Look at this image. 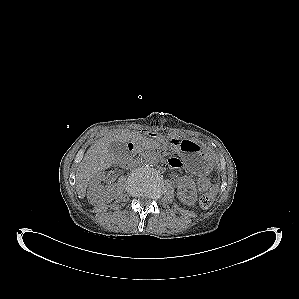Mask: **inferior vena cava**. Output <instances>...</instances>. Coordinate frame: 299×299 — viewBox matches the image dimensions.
<instances>
[{
    "label": "inferior vena cava",
    "mask_w": 299,
    "mask_h": 299,
    "mask_svg": "<svg viewBox=\"0 0 299 299\" xmlns=\"http://www.w3.org/2000/svg\"><path fill=\"white\" fill-rule=\"evenodd\" d=\"M138 163L139 162L137 160H131V161L128 162L127 166L130 167V168H132V167L137 166Z\"/></svg>",
    "instance_id": "602c4592"
}]
</instances>
